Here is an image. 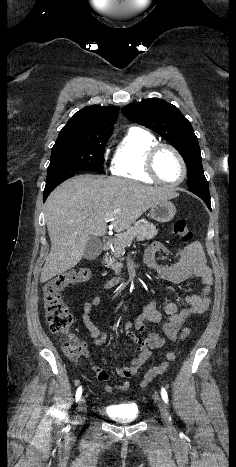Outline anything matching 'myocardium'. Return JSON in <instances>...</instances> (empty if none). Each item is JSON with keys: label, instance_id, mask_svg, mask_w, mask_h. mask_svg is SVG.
I'll return each instance as SVG.
<instances>
[{"label": "myocardium", "instance_id": "myocardium-1", "mask_svg": "<svg viewBox=\"0 0 236 467\" xmlns=\"http://www.w3.org/2000/svg\"><path fill=\"white\" fill-rule=\"evenodd\" d=\"M164 149L170 150L178 158V160H179V162L181 164V167H182V176H181V178L178 181L173 182V183H169V182L164 181L160 177V175L158 174V171H157V167H156L157 157H158L159 153ZM146 170H147L149 176L153 180H155L159 184H162V185L168 186V187H176V186L181 185L184 182V180L186 179V176H187V165H186V162H185L183 156L181 155V153L174 146H172L170 144H166V143H158V144L152 146L148 150L147 156H146Z\"/></svg>", "mask_w": 236, "mask_h": 467}]
</instances>
